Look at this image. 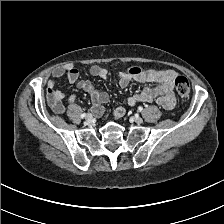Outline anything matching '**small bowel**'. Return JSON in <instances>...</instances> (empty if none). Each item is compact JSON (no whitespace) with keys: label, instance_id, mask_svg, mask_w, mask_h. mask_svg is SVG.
I'll use <instances>...</instances> for the list:
<instances>
[{"label":"small bowel","instance_id":"1","mask_svg":"<svg viewBox=\"0 0 224 224\" xmlns=\"http://www.w3.org/2000/svg\"><path fill=\"white\" fill-rule=\"evenodd\" d=\"M90 74L100 79H107L108 71L99 66L93 65L90 68ZM65 76L69 83H76L77 87L85 91L91 98L93 107L92 112L99 116L103 112L102 105L108 101V94L99 91L95 85L89 80H80L79 70L72 65L58 67L53 71V78L47 82V98L48 102L55 113L62 114L65 110L62 100L65 98V93L56 88V80ZM176 77V72L172 69L165 70H149L142 71L140 74L131 75L128 72H122L119 76V85L127 87L131 80L139 83H154L153 86H148L142 91L129 96L125 99L124 104L133 106L139 102H151L156 100L157 103L164 109L170 110L174 108L176 98L173 93V83ZM70 103L76 101L75 95H70L68 98ZM124 108L118 107L115 111V117L119 118L123 115Z\"/></svg>","mask_w":224,"mask_h":224}]
</instances>
